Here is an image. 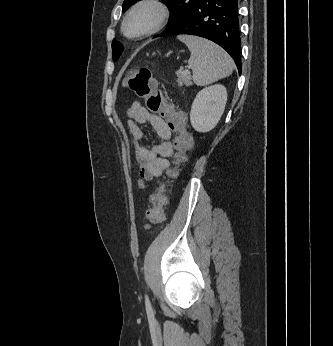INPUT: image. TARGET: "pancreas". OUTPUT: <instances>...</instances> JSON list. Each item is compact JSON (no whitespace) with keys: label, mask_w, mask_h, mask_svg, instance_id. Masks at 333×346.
Listing matches in <instances>:
<instances>
[{"label":"pancreas","mask_w":333,"mask_h":346,"mask_svg":"<svg viewBox=\"0 0 333 346\" xmlns=\"http://www.w3.org/2000/svg\"><path fill=\"white\" fill-rule=\"evenodd\" d=\"M177 77H178V82L179 84H185L186 86H190L191 85V76L189 74H184L183 71L179 70L176 73Z\"/></svg>","instance_id":"obj_1"}]
</instances>
